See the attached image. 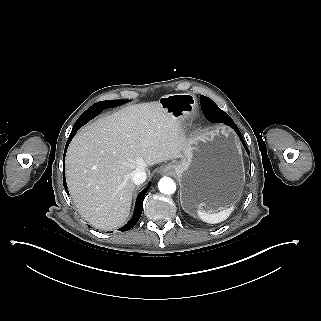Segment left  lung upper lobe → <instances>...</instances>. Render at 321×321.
I'll use <instances>...</instances> for the list:
<instances>
[{
  "label": "left lung upper lobe",
  "mask_w": 321,
  "mask_h": 321,
  "mask_svg": "<svg viewBox=\"0 0 321 321\" xmlns=\"http://www.w3.org/2000/svg\"><path fill=\"white\" fill-rule=\"evenodd\" d=\"M200 99H201V106L202 105H207V106L214 105V102L208 97L201 96Z\"/></svg>",
  "instance_id": "5c2ea615"
}]
</instances>
